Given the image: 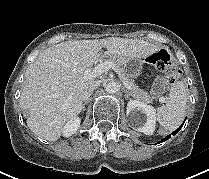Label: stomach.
<instances>
[{
	"mask_svg": "<svg viewBox=\"0 0 209 179\" xmlns=\"http://www.w3.org/2000/svg\"><path fill=\"white\" fill-rule=\"evenodd\" d=\"M120 63L124 72V76L128 80L136 79L141 75L143 69L142 58H125Z\"/></svg>",
	"mask_w": 209,
	"mask_h": 179,
	"instance_id": "stomach-1",
	"label": "stomach"
}]
</instances>
